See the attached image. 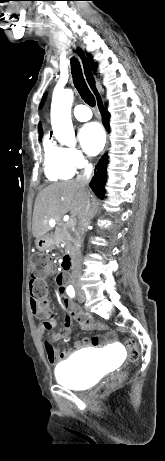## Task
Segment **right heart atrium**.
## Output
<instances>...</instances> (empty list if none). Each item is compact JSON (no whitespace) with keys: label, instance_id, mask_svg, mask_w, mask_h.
Masks as SVG:
<instances>
[{"label":"right heart atrium","instance_id":"1","mask_svg":"<svg viewBox=\"0 0 165 461\" xmlns=\"http://www.w3.org/2000/svg\"><path fill=\"white\" fill-rule=\"evenodd\" d=\"M68 163L74 169H80L87 166L86 156L77 148H65Z\"/></svg>","mask_w":165,"mask_h":461}]
</instances>
